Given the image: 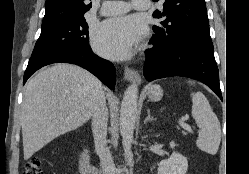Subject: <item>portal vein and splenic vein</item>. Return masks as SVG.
<instances>
[{"instance_id": "obj_1", "label": "portal vein and splenic vein", "mask_w": 249, "mask_h": 174, "mask_svg": "<svg viewBox=\"0 0 249 174\" xmlns=\"http://www.w3.org/2000/svg\"><path fill=\"white\" fill-rule=\"evenodd\" d=\"M188 118H189V116L186 115V116L183 117L181 120H179V124H180L185 130H187V131H189V132H192L191 127L185 123V121L188 120Z\"/></svg>"}]
</instances>
